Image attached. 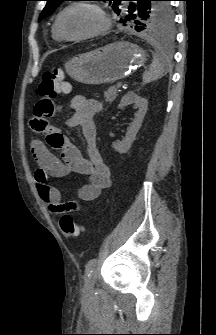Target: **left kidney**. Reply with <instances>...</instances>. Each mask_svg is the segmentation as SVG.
<instances>
[{
	"instance_id": "left-kidney-1",
	"label": "left kidney",
	"mask_w": 216,
	"mask_h": 335,
	"mask_svg": "<svg viewBox=\"0 0 216 335\" xmlns=\"http://www.w3.org/2000/svg\"><path fill=\"white\" fill-rule=\"evenodd\" d=\"M130 104H133L135 108H138L135 118L126 133L125 138L120 142L112 143L113 149L121 154L126 153L131 148L147 112V100L136 95L133 91L128 92L122 97L118 108H123Z\"/></svg>"
}]
</instances>
